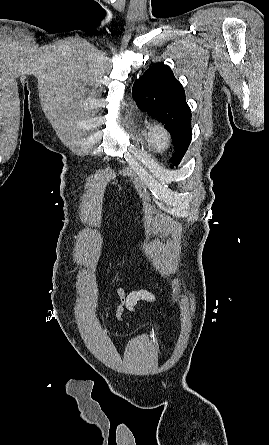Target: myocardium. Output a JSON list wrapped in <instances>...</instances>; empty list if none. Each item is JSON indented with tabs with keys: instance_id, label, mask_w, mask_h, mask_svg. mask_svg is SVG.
I'll list each match as a JSON object with an SVG mask.
<instances>
[{
	"instance_id": "obj_1",
	"label": "myocardium",
	"mask_w": 269,
	"mask_h": 445,
	"mask_svg": "<svg viewBox=\"0 0 269 445\" xmlns=\"http://www.w3.org/2000/svg\"><path fill=\"white\" fill-rule=\"evenodd\" d=\"M148 137L151 145L158 152L166 151L171 145V133L161 122H155L150 126Z\"/></svg>"
}]
</instances>
